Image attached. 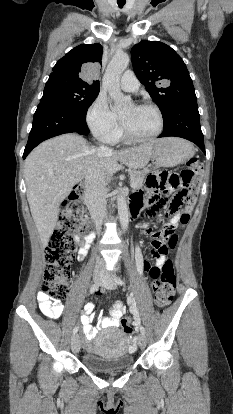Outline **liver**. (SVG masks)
<instances>
[{"label":"liver","mask_w":233,"mask_h":414,"mask_svg":"<svg viewBox=\"0 0 233 414\" xmlns=\"http://www.w3.org/2000/svg\"><path fill=\"white\" fill-rule=\"evenodd\" d=\"M154 143L103 153L82 136L67 133L37 146L25 160L24 178L31 215L43 247L48 245L56 226L61 202L92 166L96 164L107 176L120 171L122 165L143 168L151 158Z\"/></svg>","instance_id":"1"}]
</instances>
